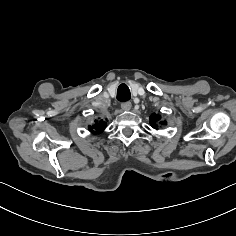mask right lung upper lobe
<instances>
[{"mask_svg":"<svg viewBox=\"0 0 236 236\" xmlns=\"http://www.w3.org/2000/svg\"><path fill=\"white\" fill-rule=\"evenodd\" d=\"M107 124L103 120L95 121V124L92 126H89V130L93 133H101L105 128Z\"/></svg>","mask_w":236,"mask_h":236,"instance_id":"1","label":"right lung upper lobe"}]
</instances>
